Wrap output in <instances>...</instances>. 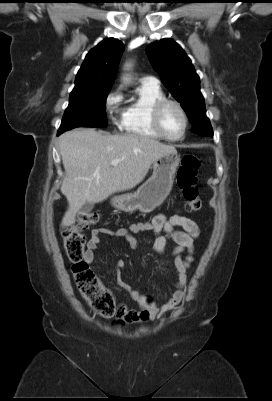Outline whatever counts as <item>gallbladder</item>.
Returning a JSON list of instances; mask_svg holds the SVG:
<instances>
[{
    "label": "gallbladder",
    "instance_id": "gallbladder-1",
    "mask_svg": "<svg viewBox=\"0 0 272 401\" xmlns=\"http://www.w3.org/2000/svg\"><path fill=\"white\" fill-rule=\"evenodd\" d=\"M94 208V204L90 202H86L79 210L80 214H88Z\"/></svg>",
    "mask_w": 272,
    "mask_h": 401
}]
</instances>
